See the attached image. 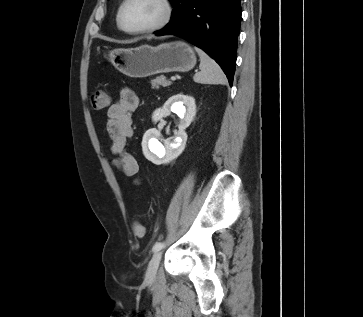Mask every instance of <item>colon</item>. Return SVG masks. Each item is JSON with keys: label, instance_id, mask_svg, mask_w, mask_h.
<instances>
[{"label": "colon", "instance_id": "obj_1", "mask_svg": "<svg viewBox=\"0 0 363 317\" xmlns=\"http://www.w3.org/2000/svg\"><path fill=\"white\" fill-rule=\"evenodd\" d=\"M109 105V97L103 91H96L91 95V106L94 110H102ZM133 232L136 236L142 237L145 234V227L139 223L133 226Z\"/></svg>", "mask_w": 363, "mask_h": 317}]
</instances>
